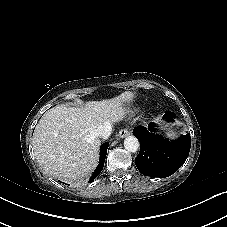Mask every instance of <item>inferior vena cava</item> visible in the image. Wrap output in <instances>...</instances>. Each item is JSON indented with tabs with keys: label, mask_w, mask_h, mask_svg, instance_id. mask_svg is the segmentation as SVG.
Wrapping results in <instances>:
<instances>
[{
	"label": "inferior vena cava",
	"mask_w": 227,
	"mask_h": 227,
	"mask_svg": "<svg viewBox=\"0 0 227 227\" xmlns=\"http://www.w3.org/2000/svg\"><path fill=\"white\" fill-rule=\"evenodd\" d=\"M112 132V126L111 124H104L96 129L95 133L98 137H100L102 140H106L109 138Z\"/></svg>",
	"instance_id": "obj_1"
}]
</instances>
